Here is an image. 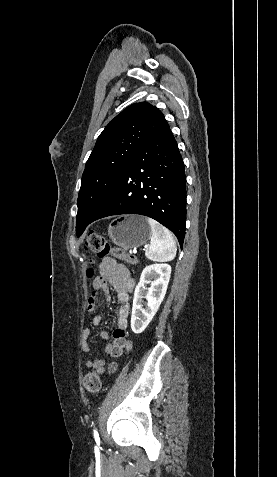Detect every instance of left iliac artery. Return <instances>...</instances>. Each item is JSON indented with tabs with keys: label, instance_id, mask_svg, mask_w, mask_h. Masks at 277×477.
Masks as SVG:
<instances>
[{
	"label": "left iliac artery",
	"instance_id": "obj_1",
	"mask_svg": "<svg viewBox=\"0 0 277 477\" xmlns=\"http://www.w3.org/2000/svg\"><path fill=\"white\" fill-rule=\"evenodd\" d=\"M94 433H95V436H96V435H97V432H96V431H94Z\"/></svg>",
	"mask_w": 277,
	"mask_h": 477
}]
</instances>
